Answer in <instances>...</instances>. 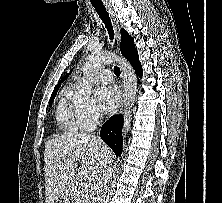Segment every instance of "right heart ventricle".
<instances>
[{
	"instance_id": "obj_1",
	"label": "right heart ventricle",
	"mask_w": 222,
	"mask_h": 203,
	"mask_svg": "<svg viewBox=\"0 0 222 203\" xmlns=\"http://www.w3.org/2000/svg\"><path fill=\"white\" fill-rule=\"evenodd\" d=\"M70 93L71 92L67 90L62 93L57 108V120L63 128L67 130H76L78 128V124L71 105L67 103V99L70 98Z\"/></svg>"
}]
</instances>
